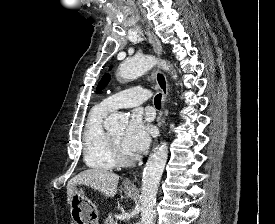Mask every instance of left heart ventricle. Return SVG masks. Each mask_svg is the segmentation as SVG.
<instances>
[{"mask_svg":"<svg viewBox=\"0 0 275 224\" xmlns=\"http://www.w3.org/2000/svg\"><path fill=\"white\" fill-rule=\"evenodd\" d=\"M112 139L114 140V142L119 146L121 152L125 155V156H130L132 155L130 152H128L123 144H122V138H123V134H124V128H118L115 130H112L109 132Z\"/></svg>","mask_w":275,"mask_h":224,"instance_id":"left-heart-ventricle-1","label":"left heart ventricle"}]
</instances>
